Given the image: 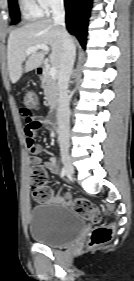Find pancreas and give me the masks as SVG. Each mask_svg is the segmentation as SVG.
I'll return each mask as SVG.
<instances>
[{
  "label": "pancreas",
  "mask_w": 134,
  "mask_h": 281,
  "mask_svg": "<svg viewBox=\"0 0 134 281\" xmlns=\"http://www.w3.org/2000/svg\"><path fill=\"white\" fill-rule=\"evenodd\" d=\"M41 88L44 91L46 97V105L50 109H54L57 105L58 87L56 79L52 78L49 74H45L42 77Z\"/></svg>",
  "instance_id": "obj_1"
}]
</instances>
